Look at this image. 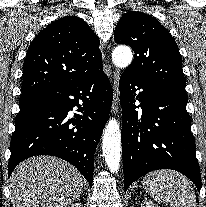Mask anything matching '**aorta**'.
Segmentation results:
<instances>
[{"mask_svg": "<svg viewBox=\"0 0 206 207\" xmlns=\"http://www.w3.org/2000/svg\"><path fill=\"white\" fill-rule=\"evenodd\" d=\"M133 59V53L129 47H116L112 53V60L119 68L127 67ZM102 150L105 162L111 172L119 170L121 159V131L116 119H111L107 123L102 141Z\"/></svg>", "mask_w": 206, "mask_h": 207, "instance_id": "762f6f07", "label": "aorta"}]
</instances>
